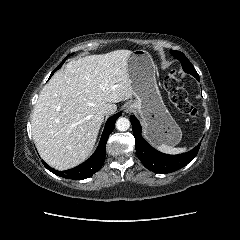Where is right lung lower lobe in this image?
Here are the masks:
<instances>
[{
  "instance_id": "98d812e1",
  "label": "right lung lower lobe",
  "mask_w": 240,
  "mask_h": 240,
  "mask_svg": "<svg viewBox=\"0 0 240 240\" xmlns=\"http://www.w3.org/2000/svg\"><path fill=\"white\" fill-rule=\"evenodd\" d=\"M122 113L119 112L113 116H111L106 124L105 128L102 134V137L100 139V143L95 151V153L84 163L80 164L79 166L66 170V171H58L53 168H50L44 161L43 164L44 166L53 172L54 174L64 177V178H69V179H75V180H81L85 178L91 177L94 173L100 170L102 167L105 156H106V143L109 138L110 133L114 130L115 127V122L118 119V117Z\"/></svg>"
}]
</instances>
